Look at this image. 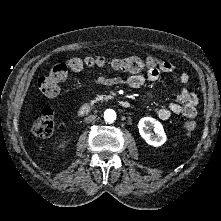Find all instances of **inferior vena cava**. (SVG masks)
Segmentation results:
<instances>
[{"mask_svg": "<svg viewBox=\"0 0 221 221\" xmlns=\"http://www.w3.org/2000/svg\"><path fill=\"white\" fill-rule=\"evenodd\" d=\"M96 119V115H89V116H87L86 118H85V122L86 123H90V122H92L93 120H95Z\"/></svg>", "mask_w": 221, "mask_h": 221, "instance_id": "obj_1", "label": "inferior vena cava"}]
</instances>
